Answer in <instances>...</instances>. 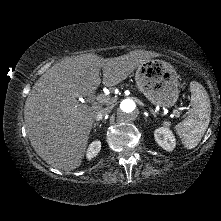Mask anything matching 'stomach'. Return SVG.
Segmentation results:
<instances>
[{
    "label": "stomach",
    "mask_w": 221,
    "mask_h": 221,
    "mask_svg": "<svg viewBox=\"0 0 221 221\" xmlns=\"http://www.w3.org/2000/svg\"><path fill=\"white\" fill-rule=\"evenodd\" d=\"M135 81L153 105L172 107L178 99V74L167 61L150 59L141 64L136 70Z\"/></svg>",
    "instance_id": "stomach-1"
}]
</instances>
